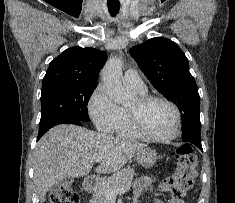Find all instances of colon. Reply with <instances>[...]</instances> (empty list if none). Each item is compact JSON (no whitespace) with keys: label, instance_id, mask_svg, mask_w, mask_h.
Segmentation results:
<instances>
[{"label":"colon","instance_id":"5ec220e1","mask_svg":"<svg viewBox=\"0 0 235 203\" xmlns=\"http://www.w3.org/2000/svg\"><path fill=\"white\" fill-rule=\"evenodd\" d=\"M198 158L193 149L183 145L176 150V169L171 178L165 180L161 188L171 198L181 199L197 176ZM79 193L72 182L66 181L55 189L44 203H79Z\"/></svg>","mask_w":235,"mask_h":203}]
</instances>
